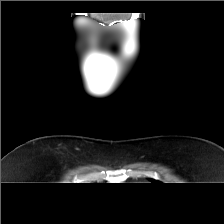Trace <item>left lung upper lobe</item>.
<instances>
[{
  "label": "left lung upper lobe",
  "mask_w": 224,
  "mask_h": 224,
  "mask_svg": "<svg viewBox=\"0 0 224 224\" xmlns=\"http://www.w3.org/2000/svg\"><path fill=\"white\" fill-rule=\"evenodd\" d=\"M152 182H155V180L151 179Z\"/></svg>",
  "instance_id": "left-lung-upper-lobe-1"
}]
</instances>
